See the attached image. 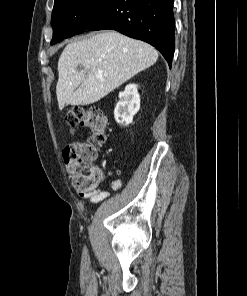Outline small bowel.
<instances>
[{"mask_svg":"<svg viewBox=\"0 0 247 296\" xmlns=\"http://www.w3.org/2000/svg\"><path fill=\"white\" fill-rule=\"evenodd\" d=\"M110 186L113 190H119L122 187V181L120 179H114L110 182ZM109 191L98 190V191H85L80 194L82 198L87 199L92 204H97L109 196Z\"/></svg>","mask_w":247,"mask_h":296,"instance_id":"small-bowel-1","label":"small bowel"}]
</instances>
